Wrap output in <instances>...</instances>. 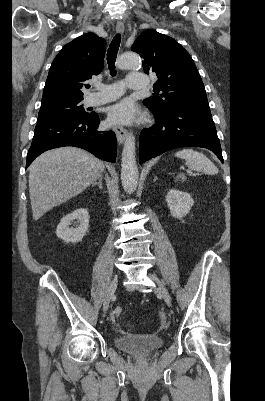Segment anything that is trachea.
<instances>
[{
    "label": "trachea",
    "instance_id": "3493384b",
    "mask_svg": "<svg viewBox=\"0 0 265 401\" xmlns=\"http://www.w3.org/2000/svg\"><path fill=\"white\" fill-rule=\"evenodd\" d=\"M120 41H121V35L117 34L112 42L109 45L108 52H107V63H108V68L110 70V74L112 76H115L116 71H115V61L117 58V53L119 50L120 46Z\"/></svg>",
    "mask_w": 265,
    "mask_h": 401
}]
</instances>
